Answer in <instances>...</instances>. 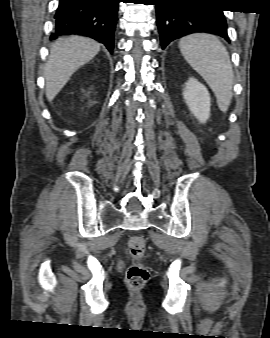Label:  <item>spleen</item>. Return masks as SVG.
<instances>
[{"label":"spleen","mask_w":270,"mask_h":338,"mask_svg":"<svg viewBox=\"0 0 270 338\" xmlns=\"http://www.w3.org/2000/svg\"><path fill=\"white\" fill-rule=\"evenodd\" d=\"M188 64L214 92L219 109L226 112L233 96L234 73L226 47L214 35L196 33L179 41Z\"/></svg>","instance_id":"1"}]
</instances>
